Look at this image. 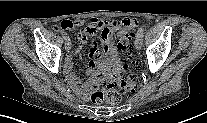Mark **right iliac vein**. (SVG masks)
I'll use <instances>...</instances> for the list:
<instances>
[{
  "label": "right iliac vein",
  "mask_w": 207,
  "mask_h": 123,
  "mask_svg": "<svg viewBox=\"0 0 207 123\" xmlns=\"http://www.w3.org/2000/svg\"><path fill=\"white\" fill-rule=\"evenodd\" d=\"M65 49L68 51L71 49V41L69 38L65 39Z\"/></svg>",
  "instance_id": "right-iliac-vein-1"
}]
</instances>
